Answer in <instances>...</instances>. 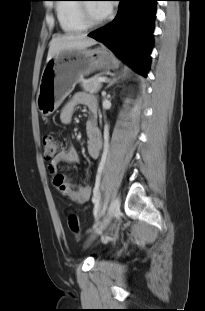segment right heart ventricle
Listing matches in <instances>:
<instances>
[{
  "instance_id": "obj_1",
  "label": "right heart ventricle",
  "mask_w": 205,
  "mask_h": 311,
  "mask_svg": "<svg viewBox=\"0 0 205 311\" xmlns=\"http://www.w3.org/2000/svg\"><path fill=\"white\" fill-rule=\"evenodd\" d=\"M77 0H60V2H74ZM79 4L59 3L56 14L61 29L68 34H75L86 29L79 15Z\"/></svg>"
}]
</instances>
